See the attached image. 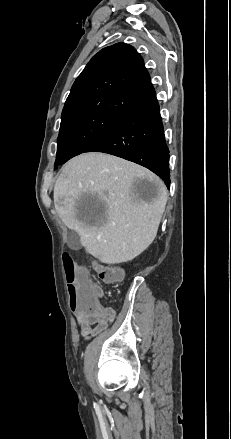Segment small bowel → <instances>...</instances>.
I'll return each mask as SVG.
<instances>
[{
    "mask_svg": "<svg viewBox=\"0 0 231 439\" xmlns=\"http://www.w3.org/2000/svg\"><path fill=\"white\" fill-rule=\"evenodd\" d=\"M101 309L104 317L100 318L98 312L94 310L95 318L93 320H86L84 318V313H74L80 328V333L84 338L88 339L91 336L99 334L107 324L114 319L115 311L112 308L101 305Z\"/></svg>",
    "mask_w": 231,
    "mask_h": 439,
    "instance_id": "c3829d8e",
    "label": "small bowel"
}]
</instances>
